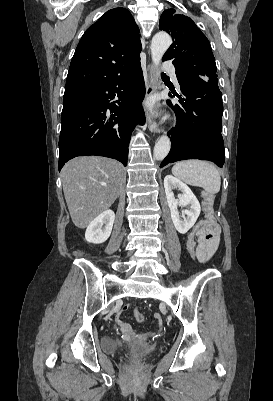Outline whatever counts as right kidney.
I'll return each mask as SVG.
<instances>
[{"label": "right kidney", "instance_id": "obj_1", "mask_svg": "<svg viewBox=\"0 0 273 401\" xmlns=\"http://www.w3.org/2000/svg\"><path fill=\"white\" fill-rule=\"evenodd\" d=\"M115 215L111 209H107L96 217L86 229L85 239L88 243H104L111 235ZM104 225V227H103Z\"/></svg>", "mask_w": 273, "mask_h": 401}]
</instances>
